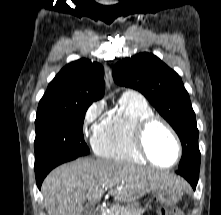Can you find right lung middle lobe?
<instances>
[{"label": "right lung middle lobe", "mask_w": 221, "mask_h": 215, "mask_svg": "<svg viewBox=\"0 0 221 215\" xmlns=\"http://www.w3.org/2000/svg\"><path fill=\"white\" fill-rule=\"evenodd\" d=\"M90 104H39L35 120V168L61 158L89 154L83 122Z\"/></svg>", "instance_id": "dd1d6c3e"}]
</instances>
